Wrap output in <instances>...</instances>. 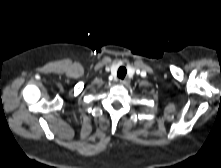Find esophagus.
<instances>
[{
    "instance_id": "esophagus-1",
    "label": "esophagus",
    "mask_w": 221,
    "mask_h": 168,
    "mask_svg": "<svg viewBox=\"0 0 221 168\" xmlns=\"http://www.w3.org/2000/svg\"><path fill=\"white\" fill-rule=\"evenodd\" d=\"M122 85H128L130 80L128 78L119 81Z\"/></svg>"
}]
</instances>
